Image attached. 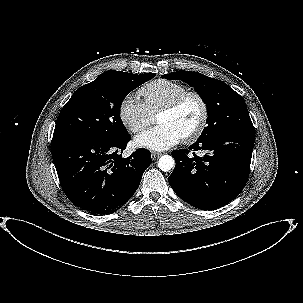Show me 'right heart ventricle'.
Here are the masks:
<instances>
[{"label": "right heart ventricle", "mask_w": 303, "mask_h": 303, "mask_svg": "<svg viewBox=\"0 0 303 303\" xmlns=\"http://www.w3.org/2000/svg\"><path fill=\"white\" fill-rule=\"evenodd\" d=\"M185 91H187L186 86L179 82L157 79L141 87L139 93L143 96V102L149 112L154 114Z\"/></svg>", "instance_id": "right-heart-ventricle-1"}]
</instances>
